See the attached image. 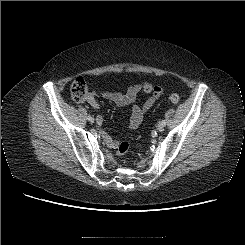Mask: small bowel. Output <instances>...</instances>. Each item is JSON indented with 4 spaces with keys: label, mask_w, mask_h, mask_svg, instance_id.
I'll use <instances>...</instances> for the list:
<instances>
[{
    "label": "small bowel",
    "mask_w": 245,
    "mask_h": 245,
    "mask_svg": "<svg viewBox=\"0 0 245 245\" xmlns=\"http://www.w3.org/2000/svg\"><path fill=\"white\" fill-rule=\"evenodd\" d=\"M140 91H144L149 95L147 100L141 105H135L137 94ZM163 94V89L159 86H154L148 82H141L131 85L126 93H119L115 91H105L102 93V97L117 106L128 107L131 106V116L129 120V127L136 129L141 124L146 112L154 105L156 100L160 98ZM87 102L95 109L98 108V102L94 94H90L87 98ZM102 120L101 116L97 117V121ZM103 139L110 148H115L117 146V141L112 139L107 133H103Z\"/></svg>",
    "instance_id": "obj_1"
}]
</instances>
